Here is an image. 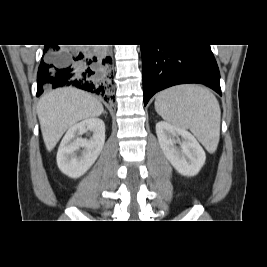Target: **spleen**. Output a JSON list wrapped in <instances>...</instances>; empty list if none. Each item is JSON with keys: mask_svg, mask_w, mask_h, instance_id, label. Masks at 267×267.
Wrapping results in <instances>:
<instances>
[{"mask_svg": "<svg viewBox=\"0 0 267 267\" xmlns=\"http://www.w3.org/2000/svg\"><path fill=\"white\" fill-rule=\"evenodd\" d=\"M156 112L167 122L189 129L210 153L220 138L221 110L216 97L199 85H179L158 93Z\"/></svg>", "mask_w": 267, "mask_h": 267, "instance_id": "1", "label": "spleen"}]
</instances>
